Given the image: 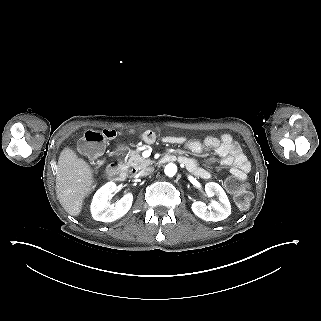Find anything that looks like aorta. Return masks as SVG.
I'll use <instances>...</instances> for the list:
<instances>
[{
  "mask_svg": "<svg viewBox=\"0 0 321 321\" xmlns=\"http://www.w3.org/2000/svg\"><path fill=\"white\" fill-rule=\"evenodd\" d=\"M164 172L168 177H173L177 172V166L174 163H168L165 166Z\"/></svg>",
  "mask_w": 321,
  "mask_h": 321,
  "instance_id": "aorta-1",
  "label": "aorta"
}]
</instances>
